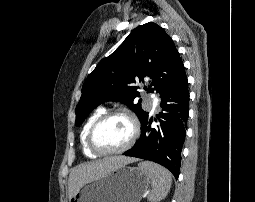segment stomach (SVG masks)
<instances>
[{
    "label": "stomach",
    "mask_w": 255,
    "mask_h": 202,
    "mask_svg": "<svg viewBox=\"0 0 255 202\" xmlns=\"http://www.w3.org/2000/svg\"><path fill=\"white\" fill-rule=\"evenodd\" d=\"M150 183L145 172L124 165L85 183L69 202H140Z\"/></svg>",
    "instance_id": "obj_1"
}]
</instances>
